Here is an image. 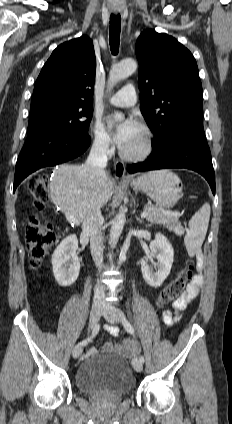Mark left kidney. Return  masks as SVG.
<instances>
[{
	"mask_svg": "<svg viewBox=\"0 0 232 424\" xmlns=\"http://www.w3.org/2000/svg\"><path fill=\"white\" fill-rule=\"evenodd\" d=\"M150 251V256L141 260V271L147 284L157 288L162 285L170 274L174 260V250L168 239L161 233H157L155 239L150 243ZM152 258L157 259L156 271H153V268L148 264Z\"/></svg>",
	"mask_w": 232,
	"mask_h": 424,
	"instance_id": "obj_1",
	"label": "left kidney"
}]
</instances>
